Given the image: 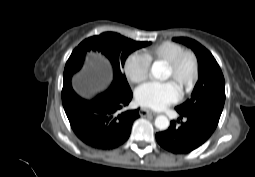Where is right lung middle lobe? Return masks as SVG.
I'll list each match as a JSON object with an SVG mask.
<instances>
[{"instance_id":"right-lung-middle-lobe-1","label":"right lung middle lobe","mask_w":255,"mask_h":177,"mask_svg":"<svg viewBox=\"0 0 255 177\" xmlns=\"http://www.w3.org/2000/svg\"><path fill=\"white\" fill-rule=\"evenodd\" d=\"M150 44L151 42L134 41L113 32L90 37L79 44L72 52L65 66L64 78H71L75 72L80 70L87 51H98L109 60L113 67L114 79L111 86L117 88L120 92H129L131 91L130 87L122 72L125 60L133 51Z\"/></svg>"}]
</instances>
